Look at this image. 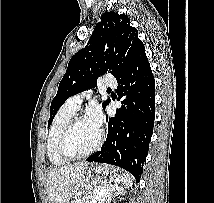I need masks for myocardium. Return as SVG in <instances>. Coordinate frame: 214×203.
<instances>
[{
    "label": "myocardium",
    "mask_w": 214,
    "mask_h": 203,
    "mask_svg": "<svg viewBox=\"0 0 214 203\" xmlns=\"http://www.w3.org/2000/svg\"><path fill=\"white\" fill-rule=\"evenodd\" d=\"M83 119L84 118L82 116H73L65 125V127L63 128L60 134V137L58 140V151L61 154V156L67 160H80L92 155L94 152H96L99 149V147L101 146L104 140V133L102 130H99L98 139L96 143L92 146V148H90L88 151L84 153H79V154L72 153L68 148L69 138L75 125Z\"/></svg>",
    "instance_id": "f54148a6"
}]
</instances>
